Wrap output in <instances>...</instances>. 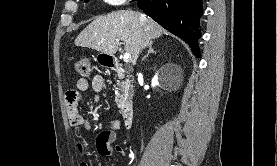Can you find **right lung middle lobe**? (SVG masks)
Here are the masks:
<instances>
[{"mask_svg": "<svg viewBox=\"0 0 277 166\" xmlns=\"http://www.w3.org/2000/svg\"><path fill=\"white\" fill-rule=\"evenodd\" d=\"M85 2H88L89 0H84Z\"/></svg>", "mask_w": 277, "mask_h": 166, "instance_id": "dd1d6c3e", "label": "right lung middle lobe"}]
</instances>
